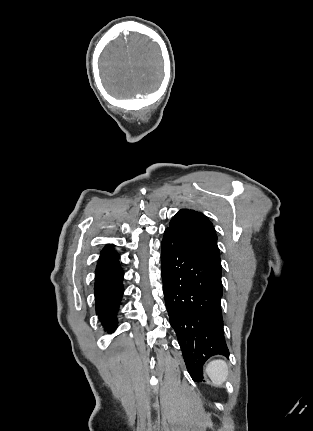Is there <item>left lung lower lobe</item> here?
<instances>
[{
    "mask_svg": "<svg viewBox=\"0 0 313 431\" xmlns=\"http://www.w3.org/2000/svg\"><path fill=\"white\" fill-rule=\"evenodd\" d=\"M161 274L165 304L187 370L195 382L203 379V364L211 356H229L221 312V266L184 245L165 230L161 243Z\"/></svg>",
    "mask_w": 313,
    "mask_h": 431,
    "instance_id": "1",
    "label": "left lung lower lobe"
}]
</instances>
